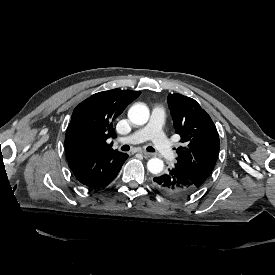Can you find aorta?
I'll return each instance as SVG.
<instances>
[{
    "label": "aorta",
    "mask_w": 275,
    "mask_h": 275,
    "mask_svg": "<svg viewBox=\"0 0 275 275\" xmlns=\"http://www.w3.org/2000/svg\"><path fill=\"white\" fill-rule=\"evenodd\" d=\"M150 116L149 108L146 104L137 102L131 106L128 111V118L135 125H144L148 122ZM164 163L159 158H151L147 163V168L152 174L162 172Z\"/></svg>",
    "instance_id": "1"
}]
</instances>
